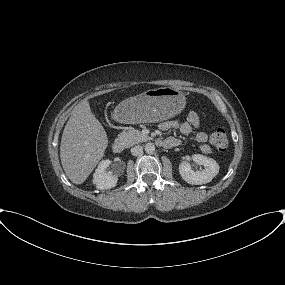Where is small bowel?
<instances>
[{"instance_id":"obj_1","label":"small bowel","mask_w":285,"mask_h":285,"mask_svg":"<svg viewBox=\"0 0 285 285\" xmlns=\"http://www.w3.org/2000/svg\"><path fill=\"white\" fill-rule=\"evenodd\" d=\"M200 120L196 113L191 112L185 121L170 120L160 124L162 131H168L171 129L180 130L185 136H191L194 131V138L199 143H205L208 136L205 132L199 130ZM179 144V140L175 137H168L164 140V145L167 147H174Z\"/></svg>"}]
</instances>
